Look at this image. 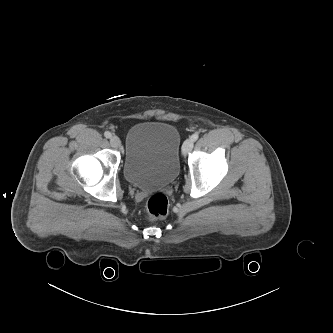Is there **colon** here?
<instances>
[{"mask_svg": "<svg viewBox=\"0 0 333 333\" xmlns=\"http://www.w3.org/2000/svg\"><path fill=\"white\" fill-rule=\"evenodd\" d=\"M169 202L166 195L157 193L152 195L146 206V216L149 221H157L166 217Z\"/></svg>", "mask_w": 333, "mask_h": 333, "instance_id": "colon-1", "label": "colon"}]
</instances>
